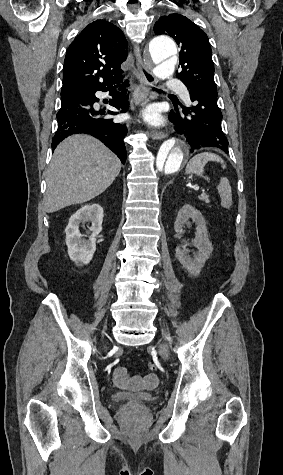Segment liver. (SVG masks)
<instances>
[{
    "label": "liver",
    "instance_id": "1",
    "mask_svg": "<svg viewBox=\"0 0 283 475\" xmlns=\"http://www.w3.org/2000/svg\"><path fill=\"white\" fill-rule=\"evenodd\" d=\"M121 170V162L100 140L70 136L57 146L47 174L48 214L71 204H84L105 192Z\"/></svg>",
    "mask_w": 283,
    "mask_h": 475
}]
</instances>
